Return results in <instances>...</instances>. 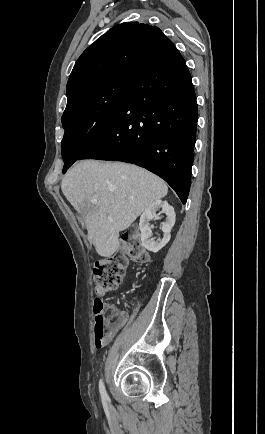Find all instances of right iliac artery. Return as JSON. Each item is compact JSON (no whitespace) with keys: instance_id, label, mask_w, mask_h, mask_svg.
Listing matches in <instances>:
<instances>
[{"instance_id":"obj_1","label":"right iliac artery","mask_w":265,"mask_h":434,"mask_svg":"<svg viewBox=\"0 0 265 434\" xmlns=\"http://www.w3.org/2000/svg\"><path fill=\"white\" fill-rule=\"evenodd\" d=\"M99 390H100V395H101L102 400L105 402L108 401L109 397H108V394L105 390V386H104L102 379L99 382Z\"/></svg>"}]
</instances>
